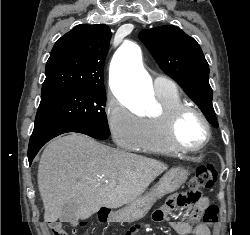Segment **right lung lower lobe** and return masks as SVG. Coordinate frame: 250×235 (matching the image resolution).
<instances>
[{
	"instance_id": "right-lung-lower-lobe-1",
	"label": "right lung lower lobe",
	"mask_w": 250,
	"mask_h": 235,
	"mask_svg": "<svg viewBox=\"0 0 250 235\" xmlns=\"http://www.w3.org/2000/svg\"><path fill=\"white\" fill-rule=\"evenodd\" d=\"M67 132H78L96 139H106L108 135L94 129L64 121H45L35 124L28 147V159L32 160L40 148L52 138Z\"/></svg>"
}]
</instances>
